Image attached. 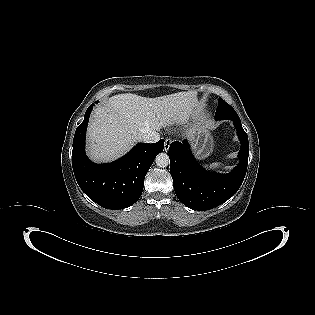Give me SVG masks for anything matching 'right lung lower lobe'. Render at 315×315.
Returning a JSON list of instances; mask_svg holds the SVG:
<instances>
[{"label":"right lung lower lobe","instance_id":"98d812e1","mask_svg":"<svg viewBox=\"0 0 315 315\" xmlns=\"http://www.w3.org/2000/svg\"><path fill=\"white\" fill-rule=\"evenodd\" d=\"M94 104L85 113L77 127L72 151V166L81 190L95 203L107 209H123L141 196L145 176L156 155L163 151L164 140L157 143H139L121 159L107 164H95L85 154V135L89 115Z\"/></svg>","mask_w":315,"mask_h":315}]
</instances>
